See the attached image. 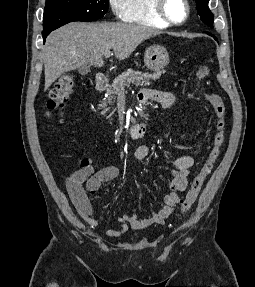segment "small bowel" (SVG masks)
Listing matches in <instances>:
<instances>
[{"instance_id":"c3829d8e","label":"small bowel","mask_w":255,"mask_h":287,"mask_svg":"<svg viewBox=\"0 0 255 287\" xmlns=\"http://www.w3.org/2000/svg\"><path fill=\"white\" fill-rule=\"evenodd\" d=\"M151 98L160 103L164 108H170L174 104V96L167 92H151ZM184 142L187 143L185 137ZM198 146L192 154L184 155L175 160L170 168L172 179L168 185V192L163 197V205L159 210L147 218L140 219L135 214H123L118 217L119 226L106 230L109 237H120L129 229L142 230L151 225H161L174 212L180 202L179 193L186 190L190 169L194 164V156L198 152ZM150 154V147L146 144L137 146L133 152L136 160L146 159ZM118 169L113 166L97 169L96 165H90L73 173L66 182L67 191L73 202L77 214L90 226L96 227L98 222L93 214V209L88 198V192H96L102 183L115 179ZM87 183L86 188L84 184Z\"/></svg>"}]
</instances>
